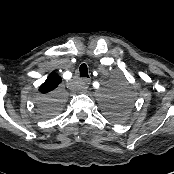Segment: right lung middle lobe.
<instances>
[{
	"label": "right lung middle lobe",
	"instance_id": "obj_1",
	"mask_svg": "<svg viewBox=\"0 0 174 174\" xmlns=\"http://www.w3.org/2000/svg\"><path fill=\"white\" fill-rule=\"evenodd\" d=\"M62 102L63 98L57 92H52L41 96L37 101V109L39 115L43 118L53 116L61 110Z\"/></svg>",
	"mask_w": 174,
	"mask_h": 174
}]
</instances>
